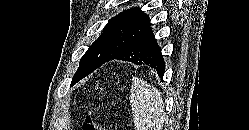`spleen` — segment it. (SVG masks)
I'll list each match as a JSON object with an SVG mask.
<instances>
[{"instance_id": "3e777b00", "label": "spleen", "mask_w": 249, "mask_h": 130, "mask_svg": "<svg viewBox=\"0 0 249 130\" xmlns=\"http://www.w3.org/2000/svg\"><path fill=\"white\" fill-rule=\"evenodd\" d=\"M130 93V104L137 130H162L165 111L161 92L145 80L135 78Z\"/></svg>"}]
</instances>
